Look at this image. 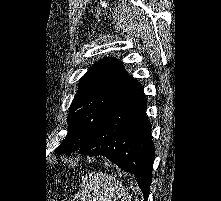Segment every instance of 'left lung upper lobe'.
I'll list each match as a JSON object with an SVG mask.
<instances>
[{
  "mask_svg": "<svg viewBox=\"0 0 221 201\" xmlns=\"http://www.w3.org/2000/svg\"><path fill=\"white\" fill-rule=\"evenodd\" d=\"M140 87L120 61L106 58L95 63L80 80L69 108L68 134L55 152L69 154L78 150L106 114Z\"/></svg>",
  "mask_w": 221,
  "mask_h": 201,
  "instance_id": "1",
  "label": "left lung upper lobe"
}]
</instances>
